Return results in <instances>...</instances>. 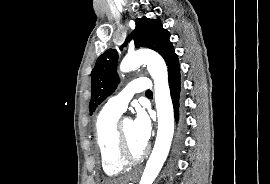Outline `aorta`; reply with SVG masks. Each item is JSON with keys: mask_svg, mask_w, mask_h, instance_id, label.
Returning a JSON list of instances; mask_svg holds the SVG:
<instances>
[{"mask_svg": "<svg viewBox=\"0 0 270 184\" xmlns=\"http://www.w3.org/2000/svg\"><path fill=\"white\" fill-rule=\"evenodd\" d=\"M141 64L154 81L155 102L158 115V132L153 151L147 161L140 184H152L159 174L170 150L174 133L173 105L168 85L167 66L154 51H137L125 56L120 64L122 72L134 70Z\"/></svg>", "mask_w": 270, "mask_h": 184, "instance_id": "1", "label": "aorta"}]
</instances>
